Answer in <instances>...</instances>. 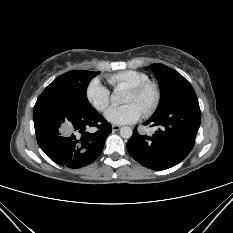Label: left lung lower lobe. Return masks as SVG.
<instances>
[{
    "mask_svg": "<svg viewBox=\"0 0 233 233\" xmlns=\"http://www.w3.org/2000/svg\"><path fill=\"white\" fill-rule=\"evenodd\" d=\"M201 120L192 86L183 87L171 104L144 125L160 126L152 136L140 135L137 127L127 143L130 155L142 166L164 170L179 164L192 150Z\"/></svg>",
    "mask_w": 233,
    "mask_h": 233,
    "instance_id": "1",
    "label": "left lung lower lobe"
}]
</instances>
